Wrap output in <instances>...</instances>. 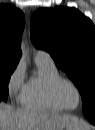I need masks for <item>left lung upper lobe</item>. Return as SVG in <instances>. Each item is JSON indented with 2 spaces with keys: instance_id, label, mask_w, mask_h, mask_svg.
Instances as JSON below:
<instances>
[{
  "instance_id": "1",
  "label": "left lung upper lobe",
  "mask_w": 95,
  "mask_h": 130,
  "mask_svg": "<svg viewBox=\"0 0 95 130\" xmlns=\"http://www.w3.org/2000/svg\"><path fill=\"white\" fill-rule=\"evenodd\" d=\"M31 40L50 53L80 91L85 117L95 116V27L75 8L39 9L31 17Z\"/></svg>"
}]
</instances>
